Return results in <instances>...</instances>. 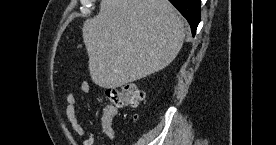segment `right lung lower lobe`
Masks as SVG:
<instances>
[{
  "label": "right lung lower lobe",
  "instance_id": "obj_1",
  "mask_svg": "<svg viewBox=\"0 0 276 145\" xmlns=\"http://www.w3.org/2000/svg\"><path fill=\"white\" fill-rule=\"evenodd\" d=\"M179 12L187 19L191 26L193 36L201 17V0H169Z\"/></svg>",
  "mask_w": 276,
  "mask_h": 145
}]
</instances>
